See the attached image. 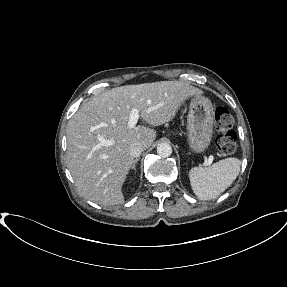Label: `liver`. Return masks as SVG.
I'll use <instances>...</instances> for the list:
<instances>
[{"label":"liver","instance_id":"1","mask_svg":"<svg viewBox=\"0 0 287 287\" xmlns=\"http://www.w3.org/2000/svg\"><path fill=\"white\" fill-rule=\"evenodd\" d=\"M202 91L183 81H160L116 87L82 104L66 128L67 166L79 194L101 206L124 202L122 186L133 158L129 149L142 143L148 149L156 131L129 128L132 109L152 126L170 122L182 103ZM101 139L109 140L103 145Z\"/></svg>","mask_w":287,"mask_h":287}]
</instances>
